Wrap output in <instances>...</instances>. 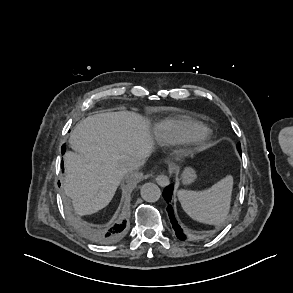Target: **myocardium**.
<instances>
[{
  "label": "myocardium",
  "instance_id": "myocardium-1",
  "mask_svg": "<svg viewBox=\"0 0 293 293\" xmlns=\"http://www.w3.org/2000/svg\"><path fill=\"white\" fill-rule=\"evenodd\" d=\"M209 135H210V130L206 126L204 125L197 126L191 132L189 138L187 139L188 146L194 147V146L202 144L204 141L207 140Z\"/></svg>",
  "mask_w": 293,
  "mask_h": 293
}]
</instances>
